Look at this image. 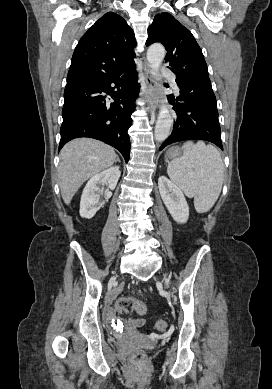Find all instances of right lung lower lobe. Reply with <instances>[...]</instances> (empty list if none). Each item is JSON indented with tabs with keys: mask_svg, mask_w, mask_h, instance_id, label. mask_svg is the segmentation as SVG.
<instances>
[{
	"mask_svg": "<svg viewBox=\"0 0 272 389\" xmlns=\"http://www.w3.org/2000/svg\"><path fill=\"white\" fill-rule=\"evenodd\" d=\"M135 68L133 61L99 77L67 82L59 150L74 138L90 137L115 147L128 162L127 131L139 93ZM104 93L114 102H106Z\"/></svg>",
	"mask_w": 272,
	"mask_h": 389,
	"instance_id": "obj_1",
	"label": "right lung lower lobe"
}]
</instances>
